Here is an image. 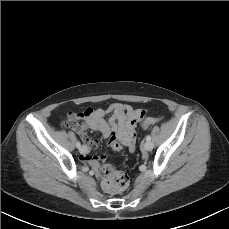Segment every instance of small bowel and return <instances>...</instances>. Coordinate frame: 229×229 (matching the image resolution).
<instances>
[{"mask_svg":"<svg viewBox=\"0 0 229 229\" xmlns=\"http://www.w3.org/2000/svg\"><path fill=\"white\" fill-rule=\"evenodd\" d=\"M111 113V117L106 120L105 115ZM140 110L128 105L113 103L107 109L87 108L82 112L70 114L66 123L73 129L84 143L82 160L87 162L94 170H100L102 166H108L107 156L102 158L89 155L91 149L98 147V142L89 138L87 131L100 132L104 137L115 136L110 142V147L114 151H120L122 146H127L130 150L135 146V128L141 121Z\"/></svg>","mask_w":229,"mask_h":229,"instance_id":"small-bowel-1","label":"small bowel"}]
</instances>
